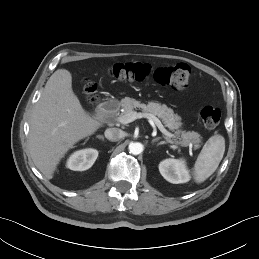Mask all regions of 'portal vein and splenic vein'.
Masks as SVG:
<instances>
[{
    "label": "portal vein and splenic vein",
    "mask_w": 259,
    "mask_h": 259,
    "mask_svg": "<svg viewBox=\"0 0 259 259\" xmlns=\"http://www.w3.org/2000/svg\"><path fill=\"white\" fill-rule=\"evenodd\" d=\"M139 118H147L149 120L150 123L155 124L158 129L167 137L172 138L174 137V134L170 133L169 131H167L165 129V127L163 126V124L161 123V121L154 115L149 114V113H137L135 111H131L127 114H123L117 117V121L120 122L121 124H128L131 123L133 121H135L136 119Z\"/></svg>",
    "instance_id": "1"
}]
</instances>
